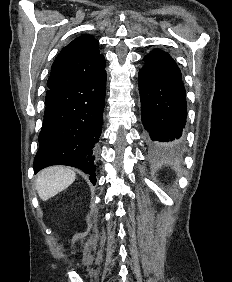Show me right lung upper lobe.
Segmentation results:
<instances>
[{
  "label": "right lung upper lobe",
  "instance_id": "right-lung-upper-lobe-1",
  "mask_svg": "<svg viewBox=\"0 0 232 282\" xmlns=\"http://www.w3.org/2000/svg\"><path fill=\"white\" fill-rule=\"evenodd\" d=\"M99 43L91 35L74 39L58 54L47 82L45 104L75 83L98 75L105 68Z\"/></svg>",
  "mask_w": 232,
  "mask_h": 282
}]
</instances>
